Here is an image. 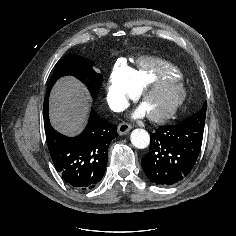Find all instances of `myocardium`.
I'll return each instance as SVG.
<instances>
[{
  "label": "myocardium",
  "instance_id": "1",
  "mask_svg": "<svg viewBox=\"0 0 236 236\" xmlns=\"http://www.w3.org/2000/svg\"><path fill=\"white\" fill-rule=\"evenodd\" d=\"M163 86L170 87L174 91V95L166 109L163 111L158 113L147 112L149 119L155 122H162L171 118L177 112L186 98V89L180 78L163 77L145 84L138 91V97L142 104L144 103L145 98L151 92Z\"/></svg>",
  "mask_w": 236,
  "mask_h": 236
}]
</instances>
